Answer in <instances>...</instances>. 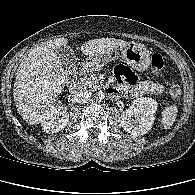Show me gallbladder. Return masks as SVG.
Segmentation results:
<instances>
[{
	"label": "gallbladder",
	"mask_w": 195,
	"mask_h": 195,
	"mask_svg": "<svg viewBox=\"0 0 195 195\" xmlns=\"http://www.w3.org/2000/svg\"><path fill=\"white\" fill-rule=\"evenodd\" d=\"M56 53L65 68H72L77 62L75 52L70 46H61Z\"/></svg>",
	"instance_id": "1"
}]
</instances>
